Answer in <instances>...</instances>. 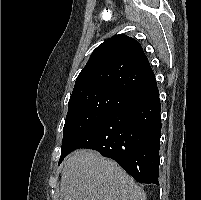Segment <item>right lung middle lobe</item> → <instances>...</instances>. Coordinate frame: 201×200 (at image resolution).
Instances as JSON below:
<instances>
[{
	"mask_svg": "<svg viewBox=\"0 0 201 200\" xmlns=\"http://www.w3.org/2000/svg\"><path fill=\"white\" fill-rule=\"evenodd\" d=\"M128 99L130 98L123 94L108 90L86 91L71 95L63 129L59 164L67 155L66 146L75 135Z\"/></svg>",
	"mask_w": 201,
	"mask_h": 200,
	"instance_id": "obj_1",
	"label": "right lung middle lobe"
}]
</instances>
